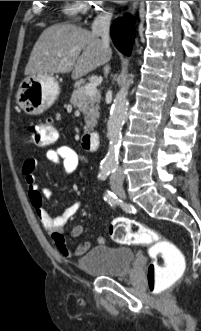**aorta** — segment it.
Listing matches in <instances>:
<instances>
[{
	"instance_id": "1",
	"label": "aorta",
	"mask_w": 201,
	"mask_h": 331,
	"mask_svg": "<svg viewBox=\"0 0 201 331\" xmlns=\"http://www.w3.org/2000/svg\"><path fill=\"white\" fill-rule=\"evenodd\" d=\"M133 75L117 93L111 107L110 116L107 122V135L109 138L108 152L100 165V176L105 177L109 172L117 168L118 156L121 146V130L126 119L128 101L127 94Z\"/></svg>"
}]
</instances>
